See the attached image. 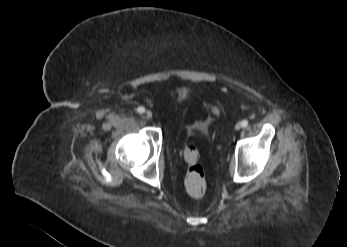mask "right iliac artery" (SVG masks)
I'll list each match as a JSON object with an SVG mask.
<instances>
[{"mask_svg": "<svg viewBox=\"0 0 347 247\" xmlns=\"http://www.w3.org/2000/svg\"><path fill=\"white\" fill-rule=\"evenodd\" d=\"M137 112L140 113V114H142V113L145 112V108L142 107V106H140V107L137 108Z\"/></svg>", "mask_w": 347, "mask_h": 247, "instance_id": "right-iliac-artery-1", "label": "right iliac artery"}]
</instances>
